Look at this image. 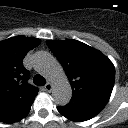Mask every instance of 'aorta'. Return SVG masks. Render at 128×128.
I'll list each match as a JSON object with an SVG mask.
<instances>
[{"mask_svg":"<svg viewBox=\"0 0 128 128\" xmlns=\"http://www.w3.org/2000/svg\"><path fill=\"white\" fill-rule=\"evenodd\" d=\"M33 64L39 72L51 80L54 102L60 106L68 104L72 97V89L63 68L57 60L50 53L39 51L33 56Z\"/></svg>","mask_w":128,"mask_h":128,"instance_id":"1","label":"aorta"}]
</instances>
